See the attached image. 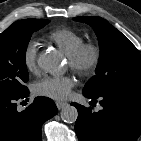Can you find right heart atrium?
I'll list each match as a JSON object with an SVG mask.
<instances>
[{
    "label": "right heart atrium",
    "mask_w": 141,
    "mask_h": 141,
    "mask_svg": "<svg viewBox=\"0 0 141 141\" xmlns=\"http://www.w3.org/2000/svg\"><path fill=\"white\" fill-rule=\"evenodd\" d=\"M23 65L29 73H35L37 70V48L34 42H29L24 48Z\"/></svg>",
    "instance_id": "obj_1"
}]
</instances>
